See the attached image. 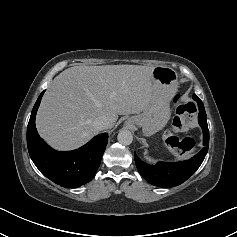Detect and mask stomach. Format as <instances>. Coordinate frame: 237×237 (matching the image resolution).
<instances>
[{
  "instance_id": "obj_1",
  "label": "stomach",
  "mask_w": 237,
  "mask_h": 237,
  "mask_svg": "<svg viewBox=\"0 0 237 237\" xmlns=\"http://www.w3.org/2000/svg\"><path fill=\"white\" fill-rule=\"evenodd\" d=\"M153 97L147 108L129 118L128 123L142 127L145 136L163 129L170 119V100L178 86L177 72L167 66H157L152 72Z\"/></svg>"
}]
</instances>
